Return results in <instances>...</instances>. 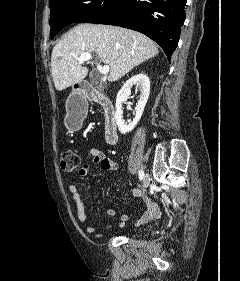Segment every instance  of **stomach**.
<instances>
[{
	"mask_svg": "<svg viewBox=\"0 0 240 281\" xmlns=\"http://www.w3.org/2000/svg\"><path fill=\"white\" fill-rule=\"evenodd\" d=\"M86 115V107L78 97V89L73 90L66 104L65 126L69 130L80 128Z\"/></svg>",
	"mask_w": 240,
	"mask_h": 281,
	"instance_id": "stomach-1",
	"label": "stomach"
}]
</instances>
